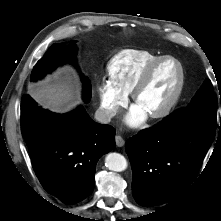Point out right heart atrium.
<instances>
[{
  "label": "right heart atrium",
  "instance_id": "obj_1",
  "mask_svg": "<svg viewBox=\"0 0 221 221\" xmlns=\"http://www.w3.org/2000/svg\"><path fill=\"white\" fill-rule=\"evenodd\" d=\"M100 110L104 117H115L128 99L127 94L119 90L110 80L103 79L97 86Z\"/></svg>",
  "mask_w": 221,
  "mask_h": 221
}]
</instances>
